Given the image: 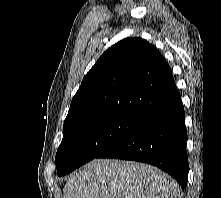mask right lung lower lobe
<instances>
[{"mask_svg":"<svg viewBox=\"0 0 221 198\" xmlns=\"http://www.w3.org/2000/svg\"><path fill=\"white\" fill-rule=\"evenodd\" d=\"M184 108L176 91L145 114L135 128L97 158L140 161L154 165L187 185L188 156Z\"/></svg>","mask_w":221,"mask_h":198,"instance_id":"1","label":"right lung lower lobe"}]
</instances>
